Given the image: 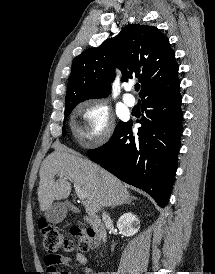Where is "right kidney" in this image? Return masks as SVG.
I'll list each match as a JSON object with an SVG mask.
<instances>
[{
    "label": "right kidney",
    "instance_id": "right-kidney-1",
    "mask_svg": "<svg viewBox=\"0 0 215 274\" xmlns=\"http://www.w3.org/2000/svg\"><path fill=\"white\" fill-rule=\"evenodd\" d=\"M139 219L131 212L124 213L117 221V228L120 232L127 236H133L139 230Z\"/></svg>",
    "mask_w": 215,
    "mask_h": 274
}]
</instances>
